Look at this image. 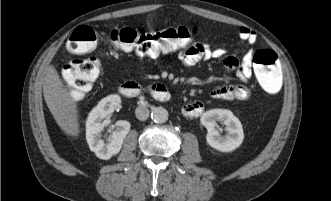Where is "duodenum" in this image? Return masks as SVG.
I'll return each instance as SVG.
<instances>
[{"mask_svg":"<svg viewBox=\"0 0 331 201\" xmlns=\"http://www.w3.org/2000/svg\"><path fill=\"white\" fill-rule=\"evenodd\" d=\"M142 90L141 84L132 81L121 84L118 91L124 97L133 98L139 96ZM148 91L152 98L159 102H167L171 97L165 85L161 83L151 84Z\"/></svg>","mask_w":331,"mask_h":201,"instance_id":"duodenum-1","label":"duodenum"}]
</instances>
